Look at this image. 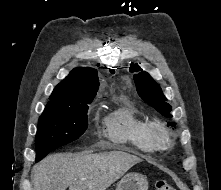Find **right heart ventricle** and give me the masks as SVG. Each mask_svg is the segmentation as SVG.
I'll return each mask as SVG.
<instances>
[{
	"label": "right heart ventricle",
	"mask_w": 221,
	"mask_h": 190,
	"mask_svg": "<svg viewBox=\"0 0 221 190\" xmlns=\"http://www.w3.org/2000/svg\"><path fill=\"white\" fill-rule=\"evenodd\" d=\"M146 118L129 101L117 105L103 119V134L117 145H130L151 153L155 148L148 142L145 133Z\"/></svg>",
	"instance_id": "right-heart-ventricle-1"
}]
</instances>
